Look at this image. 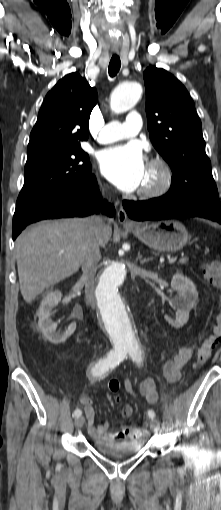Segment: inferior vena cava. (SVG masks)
I'll list each match as a JSON object with an SVG mask.
<instances>
[{
  "mask_svg": "<svg viewBox=\"0 0 221 510\" xmlns=\"http://www.w3.org/2000/svg\"><path fill=\"white\" fill-rule=\"evenodd\" d=\"M86 233L79 253L82 262L83 279L85 280L86 298L94 307V279L97 265L101 259L99 237L106 225L102 217L93 215L86 219Z\"/></svg>",
  "mask_w": 221,
  "mask_h": 510,
  "instance_id": "1",
  "label": "inferior vena cava"
}]
</instances>
